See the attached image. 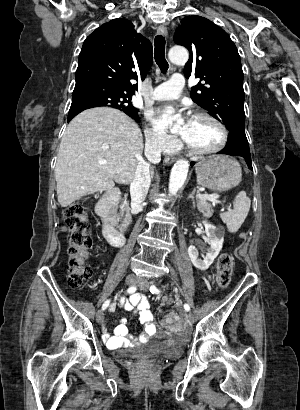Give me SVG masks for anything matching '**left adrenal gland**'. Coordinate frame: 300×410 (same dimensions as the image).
I'll use <instances>...</instances> for the list:
<instances>
[{"instance_id": "1", "label": "left adrenal gland", "mask_w": 300, "mask_h": 410, "mask_svg": "<svg viewBox=\"0 0 300 410\" xmlns=\"http://www.w3.org/2000/svg\"><path fill=\"white\" fill-rule=\"evenodd\" d=\"M195 191H196V189H194V190L188 195V197H187L188 199H191L193 207L196 206V204H195V197H194Z\"/></svg>"}]
</instances>
